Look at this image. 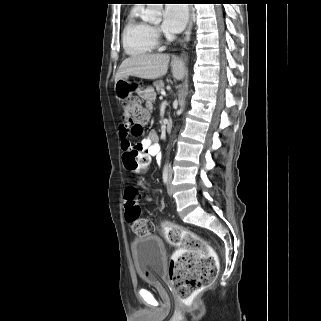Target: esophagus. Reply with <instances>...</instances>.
<instances>
[{
	"mask_svg": "<svg viewBox=\"0 0 321 321\" xmlns=\"http://www.w3.org/2000/svg\"><path fill=\"white\" fill-rule=\"evenodd\" d=\"M192 25H193V7L189 6V21L187 25V29L185 31L184 36V43L188 42L190 40L191 32H192Z\"/></svg>",
	"mask_w": 321,
	"mask_h": 321,
	"instance_id": "esophagus-1",
	"label": "esophagus"
}]
</instances>
